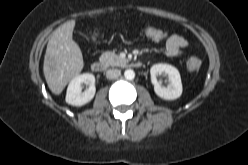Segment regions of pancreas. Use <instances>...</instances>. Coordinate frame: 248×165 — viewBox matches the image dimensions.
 <instances>
[{
    "mask_svg": "<svg viewBox=\"0 0 248 165\" xmlns=\"http://www.w3.org/2000/svg\"><path fill=\"white\" fill-rule=\"evenodd\" d=\"M100 61L108 66H123L127 63L126 59H122L114 52L106 51L100 56Z\"/></svg>",
    "mask_w": 248,
    "mask_h": 165,
    "instance_id": "1",
    "label": "pancreas"
}]
</instances>
